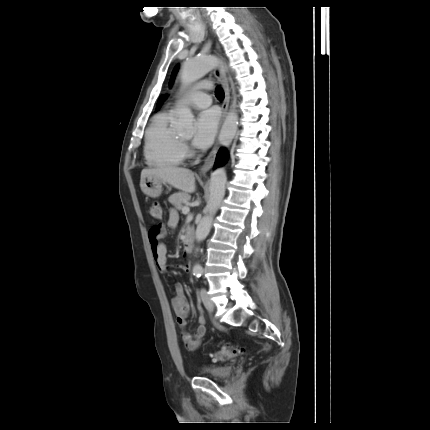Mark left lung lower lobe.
Returning a JSON list of instances; mask_svg holds the SVG:
<instances>
[{
  "label": "left lung lower lobe",
  "instance_id": "left-lung-lower-lobe-1",
  "mask_svg": "<svg viewBox=\"0 0 430 430\" xmlns=\"http://www.w3.org/2000/svg\"><path fill=\"white\" fill-rule=\"evenodd\" d=\"M226 159H227V152L224 148H221L216 157L215 167L224 164Z\"/></svg>",
  "mask_w": 430,
  "mask_h": 430
}]
</instances>
